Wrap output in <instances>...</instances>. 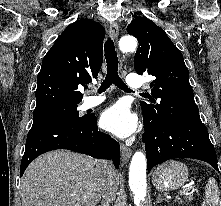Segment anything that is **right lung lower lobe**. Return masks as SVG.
<instances>
[{"label": "right lung lower lobe", "instance_id": "98d812e1", "mask_svg": "<svg viewBox=\"0 0 221 206\" xmlns=\"http://www.w3.org/2000/svg\"><path fill=\"white\" fill-rule=\"evenodd\" d=\"M56 149H68L120 164V146L108 134L98 131L95 115L83 121H58L32 126L21 161L20 177L39 155Z\"/></svg>", "mask_w": 221, "mask_h": 206}]
</instances>
